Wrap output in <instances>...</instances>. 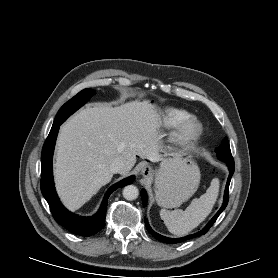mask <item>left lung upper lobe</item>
Here are the masks:
<instances>
[{"label":"left lung upper lobe","mask_w":278,"mask_h":278,"mask_svg":"<svg viewBox=\"0 0 278 278\" xmlns=\"http://www.w3.org/2000/svg\"><path fill=\"white\" fill-rule=\"evenodd\" d=\"M216 153H217V157L225 162V163H234L233 157L231 155V150H230V146L228 143V139L225 138L221 145L216 148Z\"/></svg>","instance_id":"1"}]
</instances>
